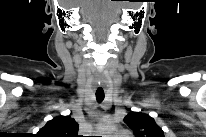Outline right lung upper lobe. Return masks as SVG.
Masks as SVG:
<instances>
[{
	"instance_id": "obj_1",
	"label": "right lung upper lobe",
	"mask_w": 206,
	"mask_h": 137,
	"mask_svg": "<svg viewBox=\"0 0 206 137\" xmlns=\"http://www.w3.org/2000/svg\"><path fill=\"white\" fill-rule=\"evenodd\" d=\"M79 125L70 116H58L38 131L40 137H77Z\"/></svg>"
}]
</instances>
